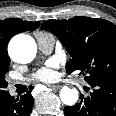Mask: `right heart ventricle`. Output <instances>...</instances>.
<instances>
[{
  "mask_svg": "<svg viewBox=\"0 0 116 116\" xmlns=\"http://www.w3.org/2000/svg\"><path fill=\"white\" fill-rule=\"evenodd\" d=\"M36 34L43 37H53V35L47 32H37Z\"/></svg>",
  "mask_w": 116,
  "mask_h": 116,
  "instance_id": "obj_1",
  "label": "right heart ventricle"
}]
</instances>
